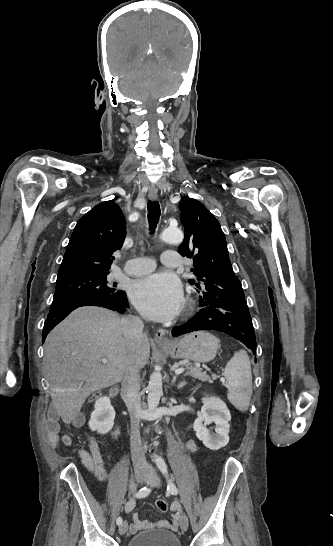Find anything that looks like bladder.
<instances>
[{"instance_id": "obj_1", "label": "bladder", "mask_w": 333, "mask_h": 546, "mask_svg": "<svg viewBox=\"0 0 333 546\" xmlns=\"http://www.w3.org/2000/svg\"><path fill=\"white\" fill-rule=\"evenodd\" d=\"M127 546H181V544L174 533L156 529L132 536Z\"/></svg>"}]
</instances>
